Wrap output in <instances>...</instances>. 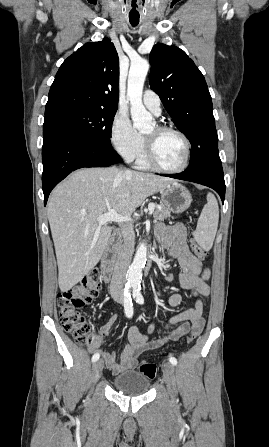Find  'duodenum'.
<instances>
[{
    "label": "duodenum",
    "mask_w": 269,
    "mask_h": 447,
    "mask_svg": "<svg viewBox=\"0 0 269 447\" xmlns=\"http://www.w3.org/2000/svg\"><path fill=\"white\" fill-rule=\"evenodd\" d=\"M121 239V231L117 230L111 237L109 243L106 246L104 254L101 260V276L104 281L108 282L111 280L115 265H116V254ZM152 267V258H149L145 264V274H148Z\"/></svg>",
    "instance_id": "obj_1"
}]
</instances>
